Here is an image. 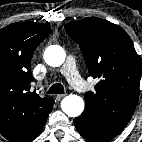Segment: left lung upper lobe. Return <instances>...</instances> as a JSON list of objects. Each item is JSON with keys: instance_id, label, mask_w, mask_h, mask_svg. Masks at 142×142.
<instances>
[{"instance_id": "obj_1", "label": "left lung upper lobe", "mask_w": 142, "mask_h": 142, "mask_svg": "<svg viewBox=\"0 0 142 142\" xmlns=\"http://www.w3.org/2000/svg\"><path fill=\"white\" fill-rule=\"evenodd\" d=\"M65 29L79 44L89 76L99 79L95 91L85 94V111L123 131L140 91L141 65L132 40L118 25L96 17L69 22Z\"/></svg>"}]
</instances>
